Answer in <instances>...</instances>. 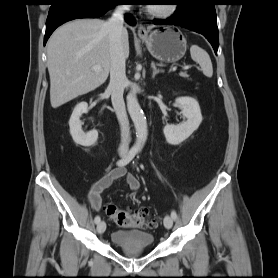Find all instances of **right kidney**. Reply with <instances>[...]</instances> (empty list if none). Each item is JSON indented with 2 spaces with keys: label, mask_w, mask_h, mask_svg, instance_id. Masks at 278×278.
Wrapping results in <instances>:
<instances>
[{
  "label": "right kidney",
  "mask_w": 278,
  "mask_h": 278,
  "mask_svg": "<svg viewBox=\"0 0 278 278\" xmlns=\"http://www.w3.org/2000/svg\"><path fill=\"white\" fill-rule=\"evenodd\" d=\"M88 111V104L86 102L79 103L73 110L69 120L70 134L74 142L78 145L89 147L95 144L98 139L97 130L84 133L82 130V123L80 117L83 113Z\"/></svg>",
  "instance_id": "1"
}]
</instances>
